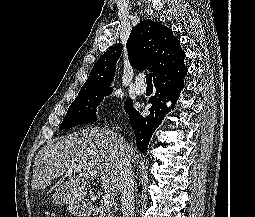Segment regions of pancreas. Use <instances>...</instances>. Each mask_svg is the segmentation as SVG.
Returning a JSON list of instances; mask_svg holds the SVG:
<instances>
[{
	"label": "pancreas",
	"instance_id": "cf45deb5",
	"mask_svg": "<svg viewBox=\"0 0 255 217\" xmlns=\"http://www.w3.org/2000/svg\"><path fill=\"white\" fill-rule=\"evenodd\" d=\"M93 217H115L113 211H111L105 205L96 206L93 211Z\"/></svg>",
	"mask_w": 255,
	"mask_h": 217
}]
</instances>
